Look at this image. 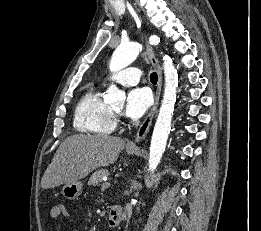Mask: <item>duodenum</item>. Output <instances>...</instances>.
Masks as SVG:
<instances>
[{"label": "duodenum", "instance_id": "410a0bca", "mask_svg": "<svg viewBox=\"0 0 261 231\" xmlns=\"http://www.w3.org/2000/svg\"><path fill=\"white\" fill-rule=\"evenodd\" d=\"M125 218L124 208L120 204L111 206L109 211V222L111 225H118Z\"/></svg>", "mask_w": 261, "mask_h": 231}]
</instances>
